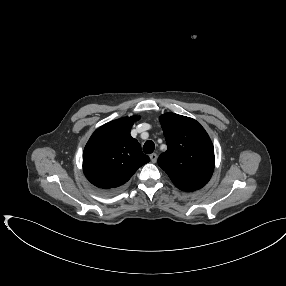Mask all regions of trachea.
Here are the masks:
<instances>
[{
    "label": "trachea",
    "instance_id": "obj_1",
    "mask_svg": "<svg viewBox=\"0 0 286 286\" xmlns=\"http://www.w3.org/2000/svg\"><path fill=\"white\" fill-rule=\"evenodd\" d=\"M155 149V145L154 142L151 140H148L145 142L144 146H143V151L146 154H151Z\"/></svg>",
    "mask_w": 286,
    "mask_h": 286
}]
</instances>
